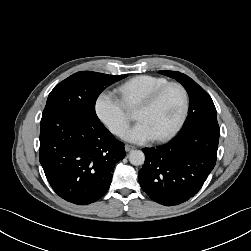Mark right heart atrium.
<instances>
[{"label":"right heart atrium","instance_id":"right-heart-atrium-1","mask_svg":"<svg viewBox=\"0 0 251 251\" xmlns=\"http://www.w3.org/2000/svg\"><path fill=\"white\" fill-rule=\"evenodd\" d=\"M94 110L98 119L115 135H121L129 124L128 108L113 90L105 89L98 94Z\"/></svg>","mask_w":251,"mask_h":251}]
</instances>
